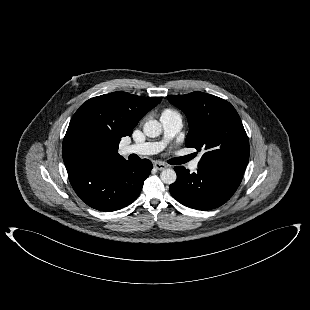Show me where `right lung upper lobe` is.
Instances as JSON below:
<instances>
[{"mask_svg":"<svg viewBox=\"0 0 310 310\" xmlns=\"http://www.w3.org/2000/svg\"><path fill=\"white\" fill-rule=\"evenodd\" d=\"M161 97L113 92L87 100L72 117L63 140L68 174L105 162L125 160L118 154L122 137L130 136L139 120Z\"/></svg>","mask_w":310,"mask_h":310,"instance_id":"1","label":"right lung upper lobe"}]
</instances>
